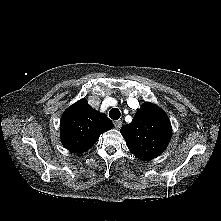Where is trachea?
<instances>
[{"mask_svg":"<svg viewBox=\"0 0 221 221\" xmlns=\"http://www.w3.org/2000/svg\"><path fill=\"white\" fill-rule=\"evenodd\" d=\"M121 116V113L118 108H112L109 112V117L113 120H118Z\"/></svg>","mask_w":221,"mask_h":221,"instance_id":"3493384b","label":"trachea"}]
</instances>
